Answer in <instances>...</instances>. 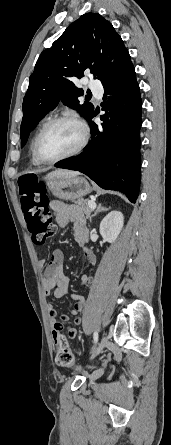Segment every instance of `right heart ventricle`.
<instances>
[{
	"instance_id": "right-heart-ventricle-1",
	"label": "right heart ventricle",
	"mask_w": 171,
	"mask_h": 445,
	"mask_svg": "<svg viewBox=\"0 0 171 445\" xmlns=\"http://www.w3.org/2000/svg\"><path fill=\"white\" fill-rule=\"evenodd\" d=\"M31 159H32V163L34 165H39L40 163L35 159L34 154H33V146H32V150H31Z\"/></svg>"
}]
</instances>
